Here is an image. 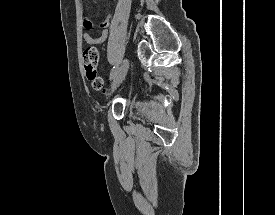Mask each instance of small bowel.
<instances>
[{"mask_svg":"<svg viewBox=\"0 0 275 215\" xmlns=\"http://www.w3.org/2000/svg\"><path fill=\"white\" fill-rule=\"evenodd\" d=\"M83 26L86 29H91L94 26V23L91 19H85L83 21ZM100 26L103 28L102 33L99 37H94L92 34L86 32L83 34V41L89 45H97L103 43L107 36L108 30L107 27L109 26V19H106L100 23Z\"/></svg>","mask_w":275,"mask_h":215,"instance_id":"c3829d8e","label":"small bowel"}]
</instances>
